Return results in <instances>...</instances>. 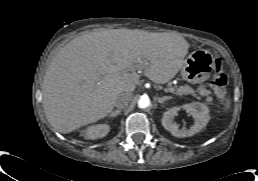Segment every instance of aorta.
<instances>
[{
	"label": "aorta",
	"mask_w": 258,
	"mask_h": 181,
	"mask_svg": "<svg viewBox=\"0 0 258 181\" xmlns=\"http://www.w3.org/2000/svg\"><path fill=\"white\" fill-rule=\"evenodd\" d=\"M150 105V99L148 96H141L138 100V107L139 108H147Z\"/></svg>",
	"instance_id": "aorta-1"
}]
</instances>
